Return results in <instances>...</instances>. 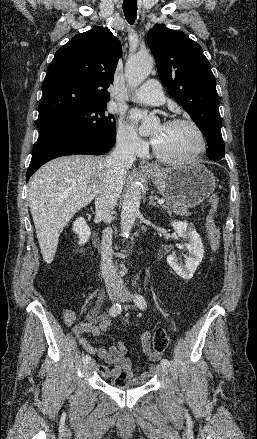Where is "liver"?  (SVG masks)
Wrapping results in <instances>:
<instances>
[{"instance_id":"6515ba94","label":"liver","mask_w":257,"mask_h":439,"mask_svg":"<svg viewBox=\"0 0 257 439\" xmlns=\"http://www.w3.org/2000/svg\"><path fill=\"white\" fill-rule=\"evenodd\" d=\"M106 171L104 157L71 155L46 163L30 179L29 207L46 263L52 262L64 227L96 196Z\"/></svg>"}]
</instances>
